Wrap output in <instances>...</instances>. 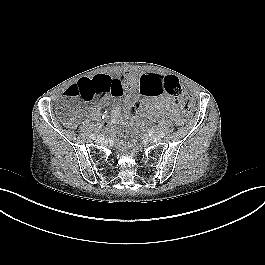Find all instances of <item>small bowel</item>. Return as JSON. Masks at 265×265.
I'll list each match as a JSON object with an SVG mask.
<instances>
[{"label":"small bowel","instance_id":"c3829d8e","mask_svg":"<svg viewBox=\"0 0 265 265\" xmlns=\"http://www.w3.org/2000/svg\"><path fill=\"white\" fill-rule=\"evenodd\" d=\"M165 75L160 72H144L138 76L129 75L127 77L121 75L97 74L88 80L105 79L107 80L110 94L114 97H127V102L132 103L135 98L144 97V101L140 102L141 110L144 113L156 110H168L175 112V104L165 95L162 89V82ZM121 107L116 105L111 110V118L98 127L113 128L121 117ZM92 118L99 121L101 116L94 113Z\"/></svg>","mask_w":265,"mask_h":265}]
</instances>
